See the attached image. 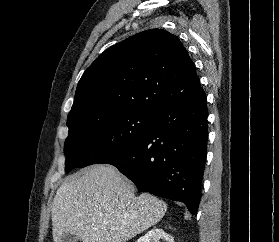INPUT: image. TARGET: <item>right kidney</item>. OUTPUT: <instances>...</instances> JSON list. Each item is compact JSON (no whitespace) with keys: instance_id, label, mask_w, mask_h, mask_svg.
Wrapping results in <instances>:
<instances>
[{"instance_id":"obj_1","label":"right kidney","mask_w":279,"mask_h":242,"mask_svg":"<svg viewBox=\"0 0 279 242\" xmlns=\"http://www.w3.org/2000/svg\"><path fill=\"white\" fill-rule=\"evenodd\" d=\"M160 239L165 242H174V238L161 228H154L148 231L144 236L140 237L137 242H160Z\"/></svg>"}]
</instances>
